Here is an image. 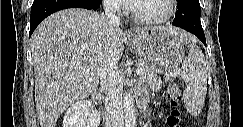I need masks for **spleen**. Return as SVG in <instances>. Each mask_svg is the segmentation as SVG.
Returning <instances> with one entry per match:
<instances>
[{"instance_id": "1", "label": "spleen", "mask_w": 243, "mask_h": 127, "mask_svg": "<svg viewBox=\"0 0 243 127\" xmlns=\"http://www.w3.org/2000/svg\"><path fill=\"white\" fill-rule=\"evenodd\" d=\"M189 48V55L182 64L183 78L187 88L183 92L184 102L192 114H199L205 102L207 92V68L205 57L198 46L189 37H179Z\"/></svg>"}]
</instances>
